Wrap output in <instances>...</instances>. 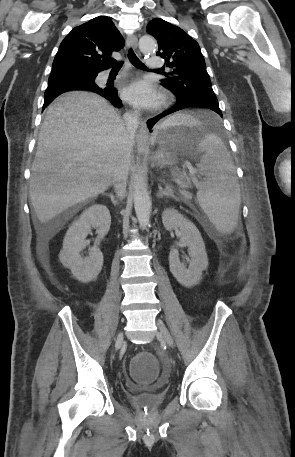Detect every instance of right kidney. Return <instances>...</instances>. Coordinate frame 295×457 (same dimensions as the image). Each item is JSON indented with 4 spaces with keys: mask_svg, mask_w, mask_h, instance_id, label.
<instances>
[{
    "mask_svg": "<svg viewBox=\"0 0 295 457\" xmlns=\"http://www.w3.org/2000/svg\"><path fill=\"white\" fill-rule=\"evenodd\" d=\"M110 225L111 216L108 208L102 204H95L87 208L69 227L63 240V249L59 254V259L65 267L72 271L77 280L88 283L100 273L103 266V254L97 245L100 239L108 233ZM92 227L97 229L96 243L89 249V256L83 258L80 253L86 246L85 238Z\"/></svg>",
    "mask_w": 295,
    "mask_h": 457,
    "instance_id": "right-kidney-1",
    "label": "right kidney"
}]
</instances>
